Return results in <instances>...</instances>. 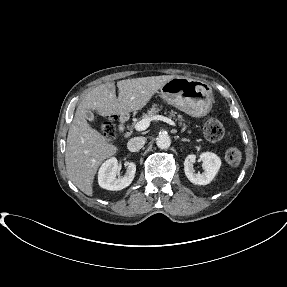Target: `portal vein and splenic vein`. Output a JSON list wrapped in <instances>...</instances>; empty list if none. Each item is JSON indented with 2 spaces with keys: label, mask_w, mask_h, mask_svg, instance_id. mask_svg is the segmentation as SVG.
Instances as JSON below:
<instances>
[{
  "label": "portal vein and splenic vein",
  "mask_w": 287,
  "mask_h": 287,
  "mask_svg": "<svg viewBox=\"0 0 287 287\" xmlns=\"http://www.w3.org/2000/svg\"><path fill=\"white\" fill-rule=\"evenodd\" d=\"M152 120H160V121H164L172 126H176L175 122L172 121L171 119L167 118V117H164V116H161V115H155L153 117H146L144 119H142L141 121H139L138 123H136L135 125V129L137 131H144L146 130L149 125H150V122Z\"/></svg>",
  "instance_id": "1"
}]
</instances>
